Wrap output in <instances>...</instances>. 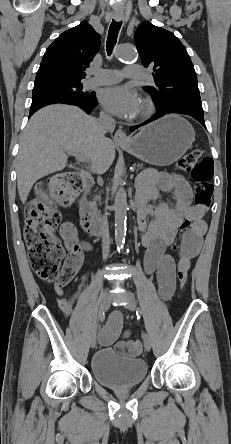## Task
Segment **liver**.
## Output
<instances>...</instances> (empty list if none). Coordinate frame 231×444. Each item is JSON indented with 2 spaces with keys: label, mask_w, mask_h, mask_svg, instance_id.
<instances>
[{
  "label": "liver",
  "mask_w": 231,
  "mask_h": 444,
  "mask_svg": "<svg viewBox=\"0 0 231 444\" xmlns=\"http://www.w3.org/2000/svg\"><path fill=\"white\" fill-rule=\"evenodd\" d=\"M71 152L86 156L91 171L98 166L107 170L115 158V145L101 133L98 121L78 107L55 104L37 111L21 135L17 156V187L23 203L39 179L65 167Z\"/></svg>",
  "instance_id": "obj_1"
}]
</instances>
